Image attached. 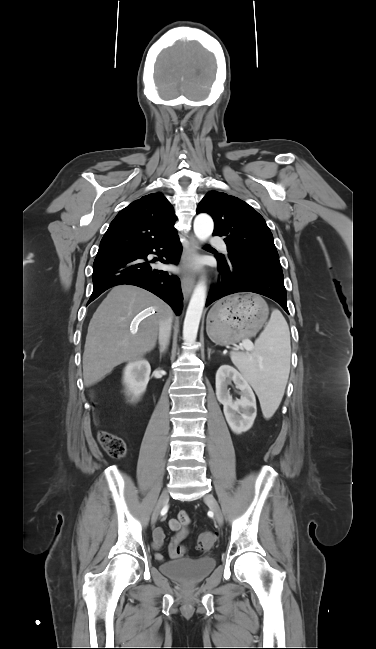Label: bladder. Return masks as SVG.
I'll return each instance as SVG.
<instances>
[{
    "label": "bladder",
    "mask_w": 376,
    "mask_h": 649,
    "mask_svg": "<svg viewBox=\"0 0 376 649\" xmlns=\"http://www.w3.org/2000/svg\"><path fill=\"white\" fill-rule=\"evenodd\" d=\"M215 565L216 561L211 557L184 558L163 562L160 570L176 581L193 584L201 582L213 571Z\"/></svg>",
    "instance_id": "31cf9c89"
}]
</instances>
